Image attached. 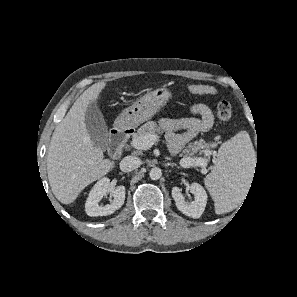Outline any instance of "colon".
Instances as JSON below:
<instances>
[{
	"label": "colon",
	"instance_id": "colon-1",
	"mask_svg": "<svg viewBox=\"0 0 297 297\" xmlns=\"http://www.w3.org/2000/svg\"><path fill=\"white\" fill-rule=\"evenodd\" d=\"M188 91L195 95L212 93L208 86L200 84H192L188 87ZM216 118L219 121H228L232 116V107L227 101H220L216 107Z\"/></svg>",
	"mask_w": 297,
	"mask_h": 297
}]
</instances>
